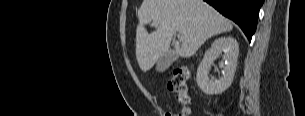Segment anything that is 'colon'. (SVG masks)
<instances>
[{"instance_id": "colon-1", "label": "colon", "mask_w": 305, "mask_h": 116, "mask_svg": "<svg viewBox=\"0 0 305 116\" xmlns=\"http://www.w3.org/2000/svg\"><path fill=\"white\" fill-rule=\"evenodd\" d=\"M189 75L190 69L188 67H181L174 71L168 86L176 94V99L182 105V109L178 113H165L164 116H188L190 114V98L186 85Z\"/></svg>"}]
</instances>
